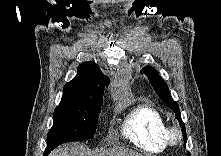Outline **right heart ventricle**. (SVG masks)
<instances>
[{"label": "right heart ventricle", "mask_w": 221, "mask_h": 156, "mask_svg": "<svg viewBox=\"0 0 221 156\" xmlns=\"http://www.w3.org/2000/svg\"><path fill=\"white\" fill-rule=\"evenodd\" d=\"M170 126L165 117L151 105H139L126 116L122 133L134 146L161 153L170 145Z\"/></svg>", "instance_id": "1"}]
</instances>
